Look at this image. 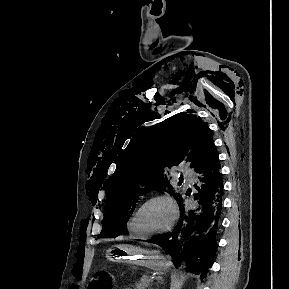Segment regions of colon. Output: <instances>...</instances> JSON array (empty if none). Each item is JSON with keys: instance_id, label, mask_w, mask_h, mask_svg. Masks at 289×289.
Returning <instances> with one entry per match:
<instances>
[{"instance_id": "obj_1", "label": "colon", "mask_w": 289, "mask_h": 289, "mask_svg": "<svg viewBox=\"0 0 289 289\" xmlns=\"http://www.w3.org/2000/svg\"><path fill=\"white\" fill-rule=\"evenodd\" d=\"M112 279L103 272H97L88 285V289H110Z\"/></svg>"}]
</instances>
